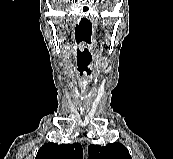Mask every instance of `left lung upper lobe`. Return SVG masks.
<instances>
[{
  "label": "left lung upper lobe",
  "instance_id": "1",
  "mask_svg": "<svg viewBox=\"0 0 173 159\" xmlns=\"http://www.w3.org/2000/svg\"><path fill=\"white\" fill-rule=\"evenodd\" d=\"M89 159H132L127 148L121 143L88 146Z\"/></svg>",
  "mask_w": 173,
  "mask_h": 159
}]
</instances>
